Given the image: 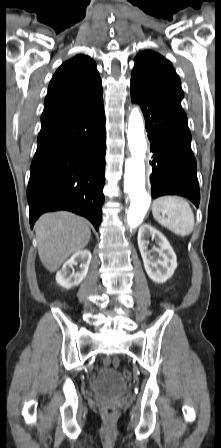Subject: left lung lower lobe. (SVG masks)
Here are the masks:
<instances>
[{
  "label": "left lung lower lobe",
  "instance_id": "0a47b994",
  "mask_svg": "<svg viewBox=\"0 0 221 448\" xmlns=\"http://www.w3.org/2000/svg\"><path fill=\"white\" fill-rule=\"evenodd\" d=\"M131 98L142 108L153 152L150 162L152 197L181 195L198 207L199 183L187 122L141 94L131 91Z\"/></svg>",
  "mask_w": 221,
  "mask_h": 448
}]
</instances>
